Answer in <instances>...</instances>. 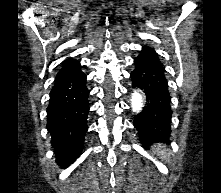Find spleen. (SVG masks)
I'll use <instances>...</instances> for the list:
<instances>
[{"instance_id": "obj_1", "label": "spleen", "mask_w": 221, "mask_h": 193, "mask_svg": "<svg viewBox=\"0 0 221 193\" xmlns=\"http://www.w3.org/2000/svg\"><path fill=\"white\" fill-rule=\"evenodd\" d=\"M157 153L160 155L161 159H165L168 157L167 153L161 150V146L159 145L156 149Z\"/></svg>"}]
</instances>
